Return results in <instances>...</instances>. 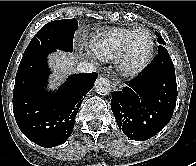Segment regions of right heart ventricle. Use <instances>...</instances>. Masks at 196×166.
<instances>
[{
	"mask_svg": "<svg viewBox=\"0 0 196 166\" xmlns=\"http://www.w3.org/2000/svg\"><path fill=\"white\" fill-rule=\"evenodd\" d=\"M132 31L129 28H110L99 31L90 42L92 53L102 59L119 58L125 46V39Z\"/></svg>",
	"mask_w": 196,
	"mask_h": 166,
	"instance_id": "obj_1",
	"label": "right heart ventricle"
}]
</instances>
